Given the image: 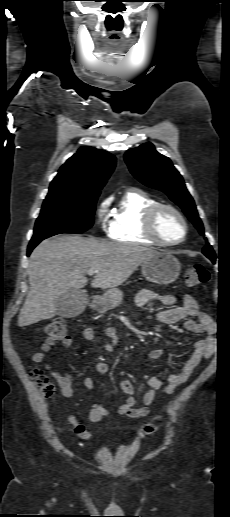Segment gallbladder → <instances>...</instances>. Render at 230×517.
<instances>
[{
    "label": "gallbladder",
    "mask_w": 230,
    "mask_h": 517,
    "mask_svg": "<svg viewBox=\"0 0 230 517\" xmlns=\"http://www.w3.org/2000/svg\"><path fill=\"white\" fill-rule=\"evenodd\" d=\"M87 302L88 297L84 291H68L56 301L57 315L65 318L75 317L84 311Z\"/></svg>",
    "instance_id": "1"
}]
</instances>
